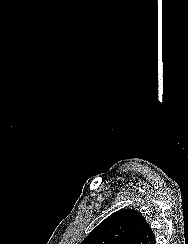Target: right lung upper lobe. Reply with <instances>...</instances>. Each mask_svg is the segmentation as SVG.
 Returning a JSON list of instances; mask_svg holds the SVG:
<instances>
[{"label": "right lung upper lobe", "instance_id": "right-lung-upper-lobe-1", "mask_svg": "<svg viewBox=\"0 0 188 244\" xmlns=\"http://www.w3.org/2000/svg\"><path fill=\"white\" fill-rule=\"evenodd\" d=\"M155 235L135 209H122L102 221L80 244H153Z\"/></svg>", "mask_w": 188, "mask_h": 244}]
</instances>
